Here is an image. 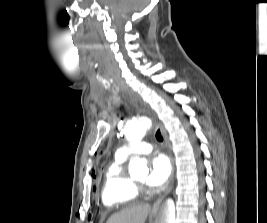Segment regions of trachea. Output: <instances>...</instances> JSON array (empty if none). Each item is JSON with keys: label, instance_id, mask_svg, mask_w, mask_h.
<instances>
[{"label": "trachea", "instance_id": "trachea-1", "mask_svg": "<svg viewBox=\"0 0 267 223\" xmlns=\"http://www.w3.org/2000/svg\"><path fill=\"white\" fill-rule=\"evenodd\" d=\"M156 139H157L159 142H162V141H163V137H162V134H161L160 129H158L157 132H156Z\"/></svg>", "mask_w": 267, "mask_h": 223}]
</instances>
